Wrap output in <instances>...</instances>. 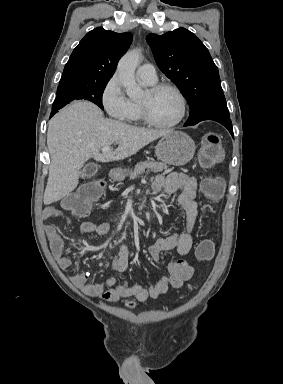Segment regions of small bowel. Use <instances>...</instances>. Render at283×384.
I'll return each mask as SVG.
<instances>
[{
    "label": "small bowel",
    "instance_id": "small-bowel-1",
    "mask_svg": "<svg viewBox=\"0 0 283 384\" xmlns=\"http://www.w3.org/2000/svg\"><path fill=\"white\" fill-rule=\"evenodd\" d=\"M155 191H163L166 194L178 192V202L186 214V230L181 233H173L165 238L153 242L148 252L154 261L160 260L164 251L176 250L181 256L187 255L192 248V236L195 220L197 217V203L195 201L197 181L194 177L183 172H173L167 175L158 176L153 182ZM44 231L49 241L50 249L59 267L66 271L71 266V259L64 252V240L59 235L56 227L48 220L64 218L63 211L56 206H48L44 212ZM111 224L91 221L83 222L79 230L87 235H106L111 231ZM129 251L125 244H122L113 257L112 266L115 271L123 273L128 267ZM194 273V266L185 259H178L168 264V275L162 277L155 285H130L127 281L118 283L114 277L104 282L91 283L88 273H78L72 277L73 284L84 294L99 298L106 302H117L122 298H134L144 302L149 298L156 299L165 294L169 288L179 289L183 283L189 280Z\"/></svg>",
    "mask_w": 283,
    "mask_h": 384
}]
</instances>
